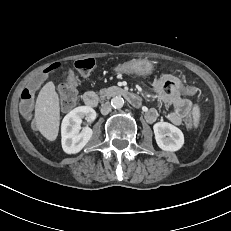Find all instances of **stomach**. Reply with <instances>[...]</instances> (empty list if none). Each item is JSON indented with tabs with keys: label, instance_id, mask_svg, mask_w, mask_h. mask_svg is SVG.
Segmentation results:
<instances>
[{
	"label": "stomach",
	"instance_id": "obj_1",
	"mask_svg": "<svg viewBox=\"0 0 231 231\" xmlns=\"http://www.w3.org/2000/svg\"><path fill=\"white\" fill-rule=\"evenodd\" d=\"M115 72L148 76L153 71V64L148 59H133L115 67Z\"/></svg>",
	"mask_w": 231,
	"mask_h": 231
}]
</instances>
